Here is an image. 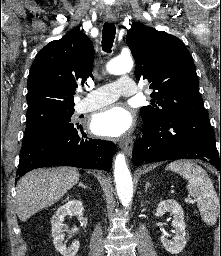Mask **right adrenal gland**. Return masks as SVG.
Wrapping results in <instances>:
<instances>
[{
  "label": "right adrenal gland",
  "mask_w": 221,
  "mask_h": 256,
  "mask_svg": "<svg viewBox=\"0 0 221 256\" xmlns=\"http://www.w3.org/2000/svg\"><path fill=\"white\" fill-rule=\"evenodd\" d=\"M79 187H83L84 189H88V187L85 186L82 182L79 183Z\"/></svg>",
  "instance_id": "2a0ac1e0"
}]
</instances>
